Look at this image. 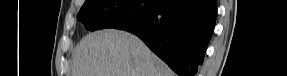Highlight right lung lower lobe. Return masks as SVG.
<instances>
[{
    "label": "right lung lower lobe",
    "instance_id": "obj_1",
    "mask_svg": "<svg viewBox=\"0 0 287 76\" xmlns=\"http://www.w3.org/2000/svg\"><path fill=\"white\" fill-rule=\"evenodd\" d=\"M216 15V0H157L147 19L123 30L141 38L179 76H195Z\"/></svg>",
    "mask_w": 287,
    "mask_h": 76
}]
</instances>
